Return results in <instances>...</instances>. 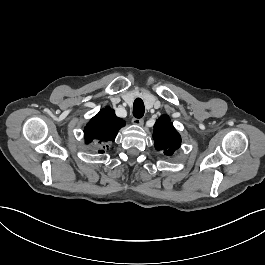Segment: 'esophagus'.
Here are the masks:
<instances>
[{"label":"esophagus","mask_w":265,"mask_h":265,"mask_svg":"<svg viewBox=\"0 0 265 265\" xmlns=\"http://www.w3.org/2000/svg\"><path fill=\"white\" fill-rule=\"evenodd\" d=\"M132 123L136 126H142L143 125V119L133 118Z\"/></svg>","instance_id":"1"}]
</instances>
